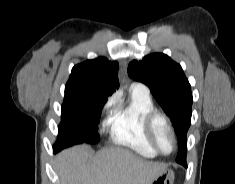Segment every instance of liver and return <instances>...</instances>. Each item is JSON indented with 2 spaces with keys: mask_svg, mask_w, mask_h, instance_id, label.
Listing matches in <instances>:
<instances>
[{
  "mask_svg": "<svg viewBox=\"0 0 235 184\" xmlns=\"http://www.w3.org/2000/svg\"><path fill=\"white\" fill-rule=\"evenodd\" d=\"M94 156L87 144L64 150L55 160L61 184H151L166 166L160 162H147L125 148L101 150Z\"/></svg>",
  "mask_w": 235,
  "mask_h": 184,
  "instance_id": "liver-1",
  "label": "liver"
}]
</instances>
